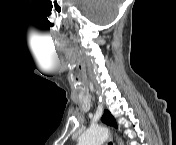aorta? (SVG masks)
<instances>
[{
	"mask_svg": "<svg viewBox=\"0 0 176 145\" xmlns=\"http://www.w3.org/2000/svg\"><path fill=\"white\" fill-rule=\"evenodd\" d=\"M106 127L96 126L86 130L79 138V145H102L108 138Z\"/></svg>",
	"mask_w": 176,
	"mask_h": 145,
	"instance_id": "762f6f07",
	"label": "aorta"
}]
</instances>
